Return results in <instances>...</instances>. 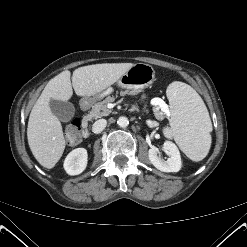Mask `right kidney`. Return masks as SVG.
I'll use <instances>...</instances> for the list:
<instances>
[{
    "label": "right kidney",
    "instance_id": "obj_1",
    "mask_svg": "<svg viewBox=\"0 0 247 247\" xmlns=\"http://www.w3.org/2000/svg\"><path fill=\"white\" fill-rule=\"evenodd\" d=\"M87 162V150L85 148H76L65 158L64 169L69 175H78L85 170Z\"/></svg>",
    "mask_w": 247,
    "mask_h": 247
}]
</instances>
